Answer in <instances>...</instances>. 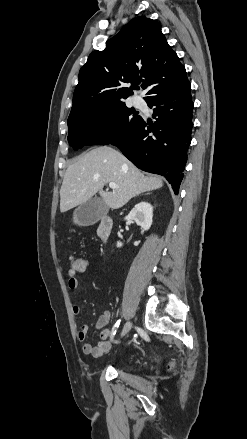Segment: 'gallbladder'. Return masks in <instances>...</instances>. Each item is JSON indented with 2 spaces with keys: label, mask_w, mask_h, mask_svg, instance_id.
<instances>
[{
  "label": "gallbladder",
  "mask_w": 247,
  "mask_h": 439,
  "mask_svg": "<svg viewBox=\"0 0 247 439\" xmlns=\"http://www.w3.org/2000/svg\"><path fill=\"white\" fill-rule=\"evenodd\" d=\"M107 212V205L101 198L95 196L75 209L73 221L81 226H90L98 222Z\"/></svg>",
  "instance_id": "bac80fb5"
}]
</instances>
